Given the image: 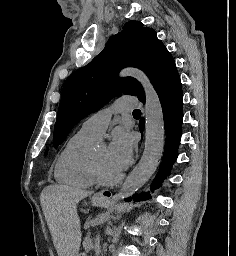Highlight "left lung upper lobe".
<instances>
[{
  "label": "left lung upper lobe",
  "instance_id": "5c2ea615",
  "mask_svg": "<svg viewBox=\"0 0 236 256\" xmlns=\"http://www.w3.org/2000/svg\"><path fill=\"white\" fill-rule=\"evenodd\" d=\"M124 67L144 71L154 88L176 69L172 55L153 29L143 27L139 21L127 22L121 32L110 38L99 55L65 82L54 127L55 148L81 119L100 109L113 97L122 93L138 99L145 96L135 78H118Z\"/></svg>",
  "mask_w": 236,
  "mask_h": 256
}]
</instances>
